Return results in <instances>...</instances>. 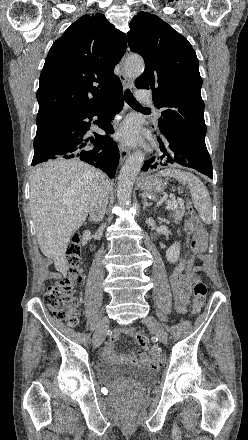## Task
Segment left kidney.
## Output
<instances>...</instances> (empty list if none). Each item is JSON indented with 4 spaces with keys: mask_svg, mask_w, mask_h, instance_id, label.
Returning a JSON list of instances; mask_svg holds the SVG:
<instances>
[{
    "mask_svg": "<svg viewBox=\"0 0 248 440\" xmlns=\"http://www.w3.org/2000/svg\"><path fill=\"white\" fill-rule=\"evenodd\" d=\"M180 243L175 242L171 247H169L166 251V259L170 263H175L180 256Z\"/></svg>",
    "mask_w": 248,
    "mask_h": 440,
    "instance_id": "1",
    "label": "left kidney"
}]
</instances>
